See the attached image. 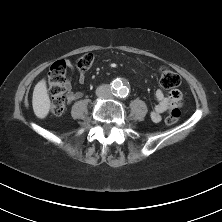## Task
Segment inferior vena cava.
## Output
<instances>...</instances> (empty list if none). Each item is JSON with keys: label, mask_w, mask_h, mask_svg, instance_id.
<instances>
[{"label": "inferior vena cava", "mask_w": 222, "mask_h": 222, "mask_svg": "<svg viewBox=\"0 0 222 222\" xmlns=\"http://www.w3.org/2000/svg\"><path fill=\"white\" fill-rule=\"evenodd\" d=\"M96 95L100 98H111L112 97V89L109 85H101L96 89Z\"/></svg>", "instance_id": "obj_1"}]
</instances>
